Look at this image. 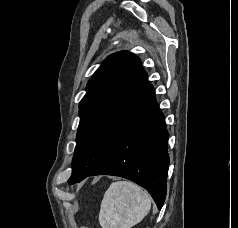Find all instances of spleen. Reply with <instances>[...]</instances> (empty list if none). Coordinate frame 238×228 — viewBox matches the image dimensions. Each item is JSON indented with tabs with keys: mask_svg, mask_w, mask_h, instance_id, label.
<instances>
[{
	"mask_svg": "<svg viewBox=\"0 0 238 228\" xmlns=\"http://www.w3.org/2000/svg\"><path fill=\"white\" fill-rule=\"evenodd\" d=\"M151 209L147 191L130 181L113 182L101 202L99 223L102 228H131Z\"/></svg>",
	"mask_w": 238,
	"mask_h": 228,
	"instance_id": "1",
	"label": "spleen"
}]
</instances>
